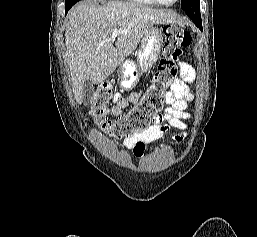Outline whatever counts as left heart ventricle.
I'll return each instance as SVG.
<instances>
[{
	"label": "left heart ventricle",
	"instance_id": "left-heart-ventricle-1",
	"mask_svg": "<svg viewBox=\"0 0 257 237\" xmlns=\"http://www.w3.org/2000/svg\"><path fill=\"white\" fill-rule=\"evenodd\" d=\"M162 1H164V2H173L174 0H162Z\"/></svg>",
	"mask_w": 257,
	"mask_h": 237
}]
</instances>
